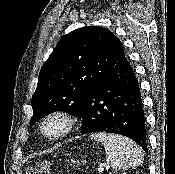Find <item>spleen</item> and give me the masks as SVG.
Listing matches in <instances>:
<instances>
[{
  "instance_id": "spleen-1",
  "label": "spleen",
  "mask_w": 175,
  "mask_h": 174,
  "mask_svg": "<svg viewBox=\"0 0 175 174\" xmlns=\"http://www.w3.org/2000/svg\"><path fill=\"white\" fill-rule=\"evenodd\" d=\"M91 139L105 148L111 167L115 170L137 167L143 163V154L132 140L117 134L106 132L93 133Z\"/></svg>"
}]
</instances>
